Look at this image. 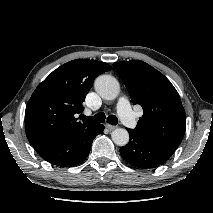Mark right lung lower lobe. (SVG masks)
<instances>
[{
	"label": "right lung lower lobe",
	"instance_id": "98d812e1",
	"mask_svg": "<svg viewBox=\"0 0 213 213\" xmlns=\"http://www.w3.org/2000/svg\"><path fill=\"white\" fill-rule=\"evenodd\" d=\"M103 130V125L95 124L70 140L58 143L37 142L32 146L44 160L57 166L72 167L86 159L94 138Z\"/></svg>",
	"mask_w": 213,
	"mask_h": 213
}]
</instances>
